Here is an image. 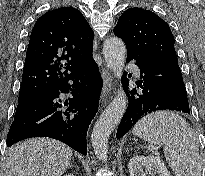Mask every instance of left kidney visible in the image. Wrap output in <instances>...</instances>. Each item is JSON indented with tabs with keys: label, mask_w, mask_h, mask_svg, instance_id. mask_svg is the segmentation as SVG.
Instances as JSON below:
<instances>
[{
	"label": "left kidney",
	"mask_w": 205,
	"mask_h": 176,
	"mask_svg": "<svg viewBox=\"0 0 205 176\" xmlns=\"http://www.w3.org/2000/svg\"><path fill=\"white\" fill-rule=\"evenodd\" d=\"M130 176H146L151 171L157 173L158 176H170L169 171L165 167L163 161L156 156H134L128 163Z\"/></svg>",
	"instance_id": "5707ae66"
}]
</instances>
